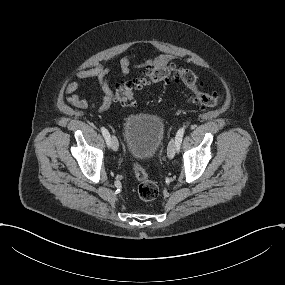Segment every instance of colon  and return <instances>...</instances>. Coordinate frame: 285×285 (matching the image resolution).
Returning a JSON list of instances; mask_svg holds the SVG:
<instances>
[{"label": "colon", "mask_w": 285, "mask_h": 285, "mask_svg": "<svg viewBox=\"0 0 285 285\" xmlns=\"http://www.w3.org/2000/svg\"><path fill=\"white\" fill-rule=\"evenodd\" d=\"M169 81L183 83L191 93L192 103L202 109L214 108L220 103L221 95L218 92L202 90L200 82L192 71L173 64L147 67L136 78L118 82L115 89V101L122 106H132L138 91L153 84ZM133 170L138 181L139 197L144 201L154 200L159 192L157 185L139 163H134Z\"/></svg>", "instance_id": "1"}]
</instances>
